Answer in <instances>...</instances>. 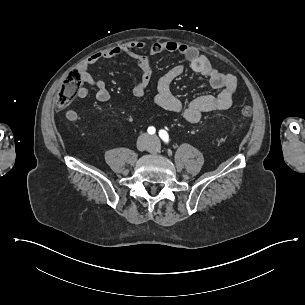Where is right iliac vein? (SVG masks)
<instances>
[{"label": "right iliac vein", "mask_w": 305, "mask_h": 305, "mask_svg": "<svg viewBox=\"0 0 305 305\" xmlns=\"http://www.w3.org/2000/svg\"><path fill=\"white\" fill-rule=\"evenodd\" d=\"M142 146H143V143H141V144L139 145L138 149H139V150H142V149H143Z\"/></svg>", "instance_id": "63e3f726"}]
</instances>
